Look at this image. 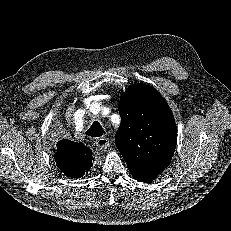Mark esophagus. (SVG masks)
I'll return each instance as SVG.
<instances>
[{
  "mask_svg": "<svg viewBox=\"0 0 231 231\" xmlns=\"http://www.w3.org/2000/svg\"><path fill=\"white\" fill-rule=\"evenodd\" d=\"M95 144L97 148L106 149L110 145V140L106 137H100L96 140Z\"/></svg>",
  "mask_w": 231,
  "mask_h": 231,
  "instance_id": "obj_1",
  "label": "esophagus"
}]
</instances>
